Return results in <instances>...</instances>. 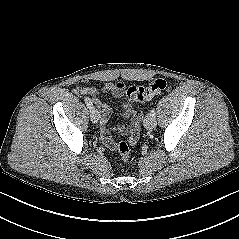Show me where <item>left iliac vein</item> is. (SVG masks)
Returning <instances> with one entry per match:
<instances>
[{
    "mask_svg": "<svg viewBox=\"0 0 239 239\" xmlns=\"http://www.w3.org/2000/svg\"><path fill=\"white\" fill-rule=\"evenodd\" d=\"M144 126L151 130L156 127V119L152 115H147L144 119Z\"/></svg>",
    "mask_w": 239,
    "mask_h": 239,
    "instance_id": "4c4485c4",
    "label": "left iliac vein"
}]
</instances>
